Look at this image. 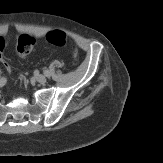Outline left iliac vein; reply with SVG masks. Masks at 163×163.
I'll return each instance as SVG.
<instances>
[{
	"instance_id": "1",
	"label": "left iliac vein",
	"mask_w": 163,
	"mask_h": 163,
	"mask_svg": "<svg viewBox=\"0 0 163 163\" xmlns=\"http://www.w3.org/2000/svg\"><path fill=\"white\" fill-rule=\"evenodd\" d=\"M35 79H36L37 82H39L41 84H44L47 81L46 77L44 75H42V74L36 75Z\"/></svg>"
}]
</instances>
